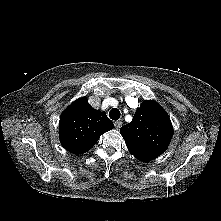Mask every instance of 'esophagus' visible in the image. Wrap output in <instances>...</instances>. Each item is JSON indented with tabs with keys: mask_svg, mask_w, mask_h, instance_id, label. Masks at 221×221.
Segmentation results:
<instances>
[{
	"mask_svg": "<svg viewBox=\"0 0 221 221\" xmlns=\"http://www.w3.org/2000/svg\"><path fill=\"white\" fill-rule=\"evenodd\" d=\"M114 125H115L116 129H120L122 126V121H120V120L115 121Z\"/></svg>",
	"mask_w": 221,
	"mask_h": 221,
	"instance_id": "obj_1",
	"label": "esophagus"
}]
</instances>
